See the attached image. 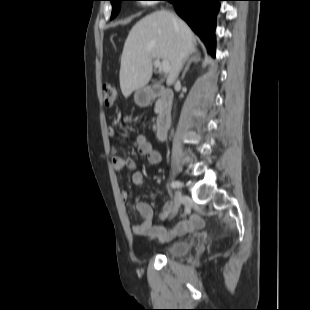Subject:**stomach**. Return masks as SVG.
I'll list each match as a JSON object with an SVG mask.
<instances>
[{
  "mask_svg": "<svg viewBox=\"0 0 310 310\" xmlns=\"http://www.w3.org/2000/svg\"><path fill=\"white\" fill-rule=\"evenodd\" d=\"M143 93L144 91L141 89L135 92L134 98H135L136 103L139 105H144L147 102V100L142 97Z\"/></svg>",
  "mask_w": 310,
  "mask_h": 310,
  "instance_id": "0dacf381",
  "label": "stomach"
}]
</instances>
